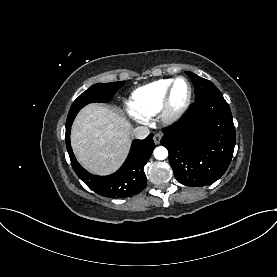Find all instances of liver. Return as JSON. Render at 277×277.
Masks as SVG:
<instances>
[{
  "label": "liver",
  "instance_id": "liver-1",
  "mask_svg": "<svg viewBox=\"0 0 277 277\" xmlns=\"http://www.w3.org/2000/svg\"><path fill=\"white\" fill-rule=\"evenodd\" d=\"M71 145L84 168L108 175L120 167L128 154L130 123L105 106L89 104L75 118Z\"/></svg>",
  "mask_w": 277,
  "mask_h": 277
}]
</instances>
